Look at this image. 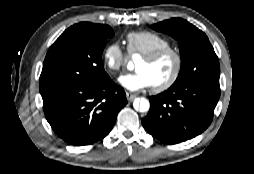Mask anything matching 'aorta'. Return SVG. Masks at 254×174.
<instances>
[{
	"instance_id": "obj_1",
	"label": "aorta",
	"mask_w": 254,
	"mask_h": 174,
	"mask_svg": "<svg viewBox=\"0 0 254 174\" xmlns=\"http://www.w3.org/2000/svg\"><path fill=\"white\" fill-rule=\"evenodd\" d=\"M132 67H133V63L129 62L128 69H132ZM134 108L139 110L140 112H147L150 108V103L146 98L136 99L134 101Z\"/></svg>"
}]
</instances>
